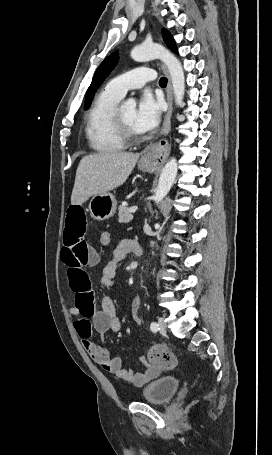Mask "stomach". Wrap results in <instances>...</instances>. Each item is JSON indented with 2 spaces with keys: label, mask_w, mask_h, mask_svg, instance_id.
Returning a JSON list of instances; mask_svg holds the SVG:
<instances>
[{
  "label": "stomach",
  "mask_w": 272,
  "mask_h": 455,
  "mask_svg": "<svg viewBox=\"0 0 272 455\" xmlns=\"http://www.w3.org/2000/svg\"><path fill=\"white\" fill-rule=\"evenodd\" d=\"M138 168L142 171L154 172L157 163L152 159L141 158L138 162ZM117 201L115 196L106 192L104 194L94 195L89 203L90 215L94 220L103 221L112 217L116 212Z\"/></svg>",
  "instance_id": "obj_1"
}]
</instances>
